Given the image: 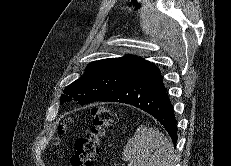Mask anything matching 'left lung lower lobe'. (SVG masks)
I'll use <instances>...</instances> for the list:
<instances>
[{"label": "left lung lower lobe", "instance_id": "0a47b994", "mask_svg": "<svg viewBox=\"0 0 231 166\" xmlns=\"http://www.w3.org/2000/svg\"><path fill=\"white\" fill-rule=\"evenodd\" d=\"M96 101L120 102L140 108L156 118L176 144L177 121L161 72L155 64L151 63Z\"/></svg>", "mask_w": 231, "mask_h": 166}]
</instances>
